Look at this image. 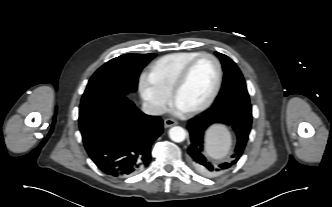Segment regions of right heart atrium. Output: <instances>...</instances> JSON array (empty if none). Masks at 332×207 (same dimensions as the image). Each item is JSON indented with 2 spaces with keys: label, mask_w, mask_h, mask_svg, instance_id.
Segmentation results:
<instances>
[{
  "label": "right heart atrium",
  "mask_w": 332,
  "mask_h": 207,
  "mask_svg": "<svg viewBox=\"0 0 332 207\" xmlns=\"http://www.w3.org/2000/svg\"><path fill=\"white\" fill-rule=\"evenodd\" d=\"M139 89L143 100L156 113H163L170 103V95L153 85L146 76H142Z\"/></svg>",
  "instance_id": "d8ad5b80"
}]
</instances>
